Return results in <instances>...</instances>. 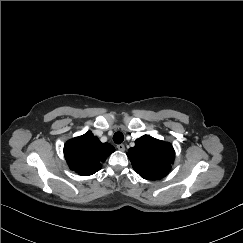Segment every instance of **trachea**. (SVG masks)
Here are the masks:
<instances>
[{"label":"trachea","mask_w":243,"mask_h":243,"mask_svg":"<svg viewBox=\"0 0 243 243\" xmlns=\"http://www.w3.org/2000/svg\"><path fill=\"white\" fill-rule=\"evenodd\" d=\"M113 141L116 143V144H120L124 141V135L121 133V132H116L114 135H113Z\"/></svg>","instance_id":"3493384b"}]
</instances>
